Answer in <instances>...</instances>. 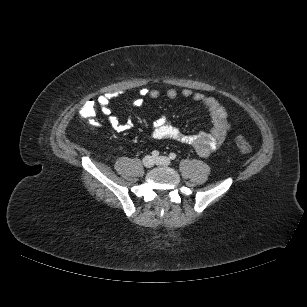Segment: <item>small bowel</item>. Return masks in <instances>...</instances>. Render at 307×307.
Returning <instances> with one entry per match:
<instances>
[{
	"instance_id": "1",
	"label": "small bowel",
	"mask_w": 307,
	"mask_h": 307,
	"mask_svg": "<svg viewBox=\"0 0 307 307\" xmlns=\"http://www.w3.org/2000/svg\"><path fill=\"white\" fill-rule=\"evenodd\" d=\"M180 94L184 98H192L196 103L203 106L212 124L211 130L193 135L184 134L178 128L171 125L167 118L162 115L152 122L153 137L159 140H173L183 145L191 146L200 156H209L222 145L231 128L227 112L217 100L202 93H194L190 89H183ZM165 95L173 100L177 98L178 92L175 89H169ZM160 96L161 92L159 90L141 89L138 92V96L133 99L132 104L137 108H141L145 98L157 99ZM112 97L111 94L100 95L96 99V103L102 114L107 116L110 126L116 132L129 131L132 128V122L128 120L121 123L117 116L112 113L109 106Z\"/></svg>"
}]
</instances>
